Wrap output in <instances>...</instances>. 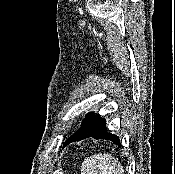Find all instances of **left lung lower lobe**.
<instances>
[{"label": "left lung lower lobe", "instance_id": "1", "mask_svg": "<svg viewBox=\"0 0 175 174\" xmlns=\"http://www.w3.org/2000/svg\"><path fill=\"white\" fill-rule=\"evenodd\" d=\"M106 121L104 118L97 117L93 113H88L81 123V127L64 143V147L69 143L80 141L88 137L95 139L111 140L120 145L119 138L107 132Z\"/></svg>", "mask_w": 175, "mask_h": 174}]
</instances>
